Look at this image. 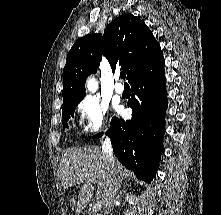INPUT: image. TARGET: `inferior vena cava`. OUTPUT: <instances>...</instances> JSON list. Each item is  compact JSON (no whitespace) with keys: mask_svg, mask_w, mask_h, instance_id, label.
<instances>
[{"mask_svg":"<svg viewBox=\"0 0 221 215\" xmlns=\"http://www.w3.org/2000/svg\"><path fill=\"white\" fill-rule=\"evenodd\" d=\"M102 152L107 159V161L111 164V177L108 181L107 185V190L106 193L104 194L103 197V204L105 208V214H109L111 211L112 204L115 200V195H116V185L118 182L117 177L115 176L114 173V158H113V150H112V145L110 143L109 139H105V141L102 143Z\"/></svg>","mask_w":221,"mask_h":215,"instance_id":"602c4592","label":"inferior vena cava"}]
</instances>
